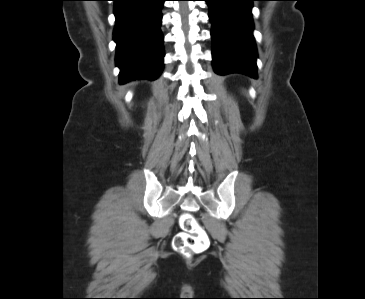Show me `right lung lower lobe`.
<instances>
[{"mask_svg":"<svg viewBox=\"0 0 365 299\" xmlns=\"http://www.w3.org/2000/svg\"><path fill=\"white\" fill-rule=\"evenodd\" d=\"M117 43L116 66L120 84L147 78L155 80L162 72L164 48L160 30L165 0H113Z\"/></svg>","mask_w":365,"mask_h":299,"instance_id":"obj_1","label":"right lung lower lobe"}]
</instances>
